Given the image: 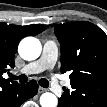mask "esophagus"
<instances>
[{"label":"esophagus","instance_id":"1","mask_svg":"<svg viewBox=\"0 0 107 107\" xmlns=\"http://www.w3.org/2000/svg\"><path fill=\"white\" fill-rule=\"evenodd\" d=\"M44 91H46L45 88H43V87H39V93H42V92H44Z\"/></svg>","mask_w":107,"mask_h":107}]
</instances>
